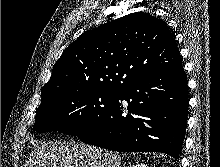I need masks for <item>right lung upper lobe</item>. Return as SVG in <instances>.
Returning <instances> with one entry per match:
<instances>
[{
    "mask_svg": "<svg viewBox=\"0 0 220 167\" xmlns=\"http://www.w3.org/2000/svg\"><path fill=\"white\" fill-rule=\"evenodd\" d=\"M181 65L174 31L159 18L132 13L85 31L71 43L53 66L42 102L78 88L120 91Z\"/></svg>",
    "mask_w": 220,
    "mask_h": 167,
    "instance_id": "cb5924a9",
    "label": "right lung upper lobe"
}]
</instances>
